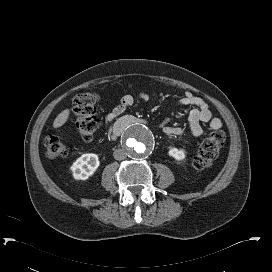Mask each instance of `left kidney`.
I'll return each mask as SVG.
<instances>
[{
  "label": "left kidney",
  "instance_id": "5707ae66",
  "mask_svg": "<svg viewBox=\"0 0 272 272\" xmlns=\"http://www.w3.org/2000/svg\"><path fill=\"white\" fill-rule=\"evenodd\" d=\"M169 156L173 157L177 161H183L186 157L184 149L170 148L168 151Z\"/></svg>",
  "mask_w": 272,
  "mask_h": 272
}]
</instances>
